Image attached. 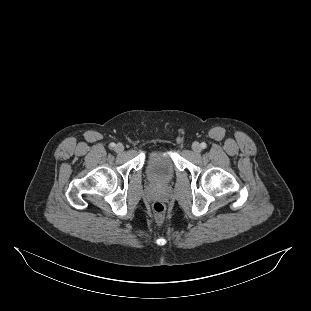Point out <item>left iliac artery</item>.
Instances as JSON below:
<instances>
[{
    "instance_id": "44dca946",
    "label": "left iliac artery",
    "mask_w": 311,
    "mask_h": 311,
    "mask_svg": "<svg viewBox=\"0 0 311 311\" xmlns=\"http://www.w3.org/2000/svg\"><path fill=\"white\" fill-rule=\"evenodd\" d=\"M200 146H201V148H203V149H204V148H206V147H207V144H206L205 142H202Z\"/></svg>"
}]
</instances>
